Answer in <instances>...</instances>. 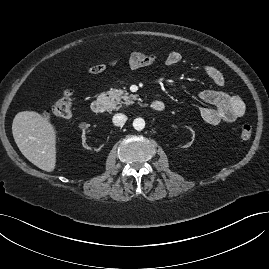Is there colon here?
Listing matches in <instances>:
<instances>
[{
	"instance_id": "colon-1",
	"label": "colon",
	"mask_w": 269,
	"mask_h": 269,
	"mask_svg": "<svg viewBox=\"0 0 269 269\" xmlns=\"http://www.w3.org/2000/svg\"><path fill=\"white\" fill-rule=\"evenodd\" d=\"M73 111V93L70 90H65L58 99L54 102L48 116L59 118L70 117ZM252 135V126L249 123H243L239 130V139L245 142Z\"/></svg>"
}]
</instances>
